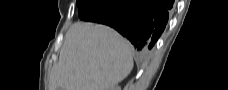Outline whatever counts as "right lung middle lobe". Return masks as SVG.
Wrapping results in <instances>:
<instances>
[{
	"label": "right lung middle lobe",
	"mask_w": 228,
	"mask_h": 90,
	"mask_svg": "<svg viewBox=\"0 0 228 90\" xmlns=\"http://www.w3.org/2000/svg\"><path fill=\"white\" fill-rule=\"evenodd\" d=\"M100 2L101 0H77L76 4L79 8V17L81 18L86 13V8L99 6Z\"/></svg>",
	"instance_id": "right-lung-middle-lobe-1"
}]
</instances>
